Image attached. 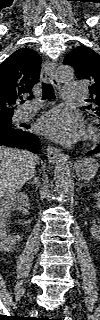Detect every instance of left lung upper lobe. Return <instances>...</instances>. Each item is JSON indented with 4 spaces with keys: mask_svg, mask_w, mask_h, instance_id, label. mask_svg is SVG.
<instances>
[{
    "mask_svg": "<svg viewBox=\"0 0 100 320\" xmlns=\"http://www.w3.org/2000/svg\"><path fill=\"white\" fill-rule=\"evenodd\" d=\"M64 64L74 68L79 80H86L91 84L90 98L86 100L90 104L84 109L100 119V56L86 46H79L65 57Z\"/></svg>",
    "mask_w": 100,
    "mask_h": 320,
    "instance_id": "left-lung-upper-lobe-1",
    "label": "left lung upper lobe"
}]
</instances>
